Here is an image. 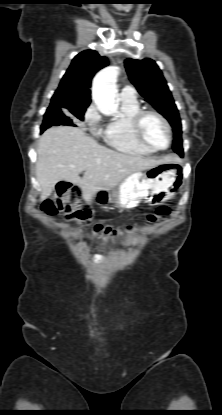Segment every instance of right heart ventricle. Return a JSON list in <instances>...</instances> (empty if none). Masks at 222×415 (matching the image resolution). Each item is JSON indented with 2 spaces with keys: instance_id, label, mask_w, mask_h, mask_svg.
<instances>
[{
  "instance_id": "right-heart-ventricle-1",
  "label": "right heart ventricle",
  "mask_w": 222,
  "mask_h": 415,
  "mask_svg": "<svg viewBox=\"0 0 222 415\" xmlns=\"http://www.w3.org/2000/svg\"><path fill=\"white\" fill-rule=\"evenodd\" d=\"M121 114L112 119L102 132V138L110 147L124 153L151 155L155 151L141 144L136 138L132 121L141 109L136 98L126 100L119 98Z\"/></svg>"
}]
</instances>
